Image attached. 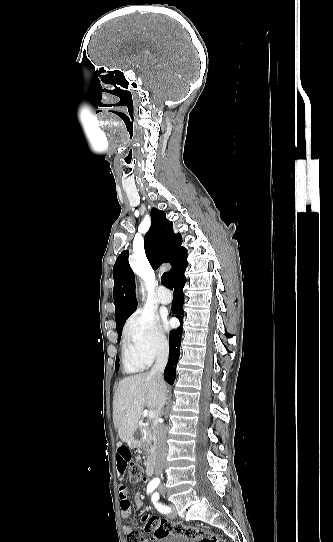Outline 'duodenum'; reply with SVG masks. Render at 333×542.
I'll return each instance as SVG.
<instances>
[{
	"label": "duodenum",
	"mask_w": 333,
	"mask_h": 542,
	"mask_svg": "<svg viewBox=\"0 0 333 542\" xmlns=\"http://www.w3.org/2000/svg\"><path fill=\"white\" fill-rule=\"evenodd\" d=\"M131 445L132 446H137L138 445V440L135 439V438H132L131 439ZM154 472V461L152 459H150L147 464H146V474L148 476H151Z\"/></svg>",
	"instance_id": "1"
}]
</instances>
